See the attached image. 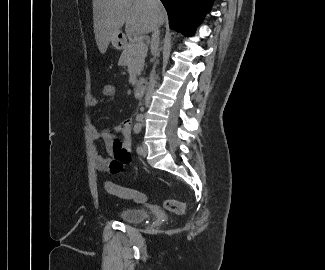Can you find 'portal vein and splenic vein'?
<instances>
[{
  "instance_id": "1",
  "label": "portal vein and splenic vein",
  "mask_w": 325,
  "mask_h": 270,
  "mask_svg": "<svg viewBox=\"0 0 325 270\" xmlns=\"http://www.w3.org/2000/svg\"><path fill=\"white\" fill-rule=\"evenodd\" d=\"M137 46L140 47V48H144L145 44H144L143 41L138 40V41H137Z\"/></svg>"
}]
</instances>
